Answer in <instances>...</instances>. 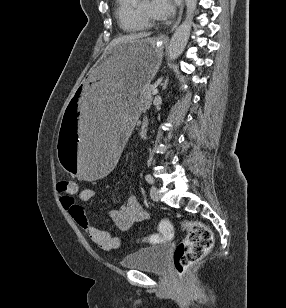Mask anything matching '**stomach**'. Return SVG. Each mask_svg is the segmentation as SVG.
I'll return each mask as SVG.
<instances>
[{"label":"stomach","mask_w":286,"mask_h":308,"mask_svg":"<svg viewBox=\"0 0 286 308\" xmlns=\"http://www.w3.org/2000/svg\"><path fill=\"white\" fill-rule=\"evenodd\" d=\"M159 39L127 40L95 60L71 100H67L58 159L64 173L82 182H103L122 159L125 132H131L144 107L142 89L149 85L162 60Z\"/></svg>","instance_id":"1"}]
</instances>
